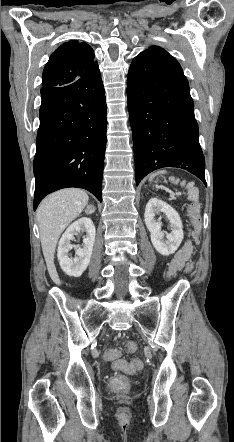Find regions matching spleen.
I'll use <instances>...</instances> for the list:
<instances>
[{
	"instance_id": "obj_1",
	"label": "spleen",
	"mask_w": 234,
	"mask_h": 442,
	"mask_svg": "<svg viewBox=\"0 0 234 442\" xmlns=\"http://www.w3.org/2000/svg\"><path fill=\"white\" fill-rule=\"evenodd\" d=\"M166 173H167L166 170H159V171H157L155 173H152L150 175V177H149V181H152L157 175H163V174H166ZM170 181L172 183H174V184H178L180 182V180L179 179H175V177H170ZM180 185L187 188V190H188V200H190V201H198L199 190L196 187H194L193 183H187L186 184V181L183 180V181L180 182Z\"/></svg>"
}]
</instances>
